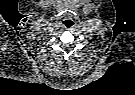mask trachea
I'll use <instances>...</instances> for the list:
<instances>
[{"label":"trachea","mask_w":135,"mask_h":95,"mask_svg":"<svg viewBox=\"0 0 135 95\" xmlns=\"http://www.w3.org/2000/svg\"><path fill=\"white\" fill-rule=\"evenodd\" d=\"M64 24L67 26V27H71L74 23L71 21V20H69V21H64ZM69 24H71V25H69Z\"/></svg>","instance_id":"obj_1"}]
</instances>
